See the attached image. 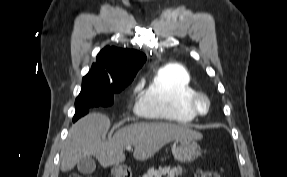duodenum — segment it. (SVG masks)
<instances>
[{
  "label": "duodenum",
  "instance_id": "410a0bca",
  "mask_svg": "<svg viewBox=\"0 0 287 177\" xmlns=\"http://www.w3.org/2000/svg\"><path fill=\"white\" fill-rule=\"evenodd\" d=\"M114 177H130L126 166H117L113 168Z\"/></svg>",
  "mask_w": 287,
  "mask_h": 177
}]
</instances>
